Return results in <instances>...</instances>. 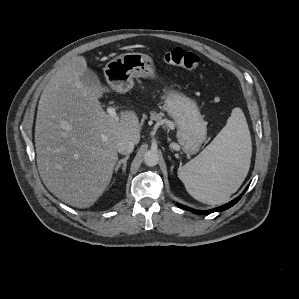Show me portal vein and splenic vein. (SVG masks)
I'll list each match as a JSON object with an SVG mask.
<instances>
[{
	"label": "portal vein and splenic vein",
	"instance_id": "portal-vein-and-splenic-vein-1",
	"mask_svg": "<svg viewBox=\"0 0 299 299\" xmlns=\"http://www.w3.org/2000/svg\"><path fill=\"white\" fill-rule=\"evenodd\" d=\"M107 113H108L109 116H110L111 118H113V119H117V118H118L117 113H116V111H115V108L112 107V106H108V107H107Z\"/></svg>",
	"mask_w": 299,
	"mask_h": 299
}]
</instances>
